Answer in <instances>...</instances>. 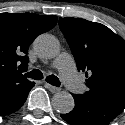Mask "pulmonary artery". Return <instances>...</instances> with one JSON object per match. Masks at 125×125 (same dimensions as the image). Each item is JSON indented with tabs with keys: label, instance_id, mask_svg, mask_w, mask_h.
Listing matches in <instances>:
<instances>
[{
	"label": "pulmonary artery",
	"instance_id": "obj_1",
	"mask_svg": "<svg viewBox=\"0 0 125 125\" xmlns=\"http://www.w3.org/2000/svg\"><path fill=\"white\" fill-rule=\"evenodd\" d=\"M53 66L59 69L61 78L71 90L78 92L82 89V84L75 72L73 59L70 54H60L54 61Z\"/></svg>",
	"mask_w": 125,
	"mask_h": 125
}]
</instances>
